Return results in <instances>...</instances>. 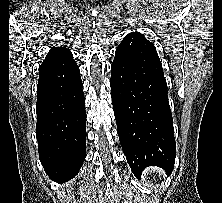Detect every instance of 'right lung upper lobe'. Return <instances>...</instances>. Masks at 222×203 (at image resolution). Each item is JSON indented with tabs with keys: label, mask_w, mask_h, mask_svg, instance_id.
Returning <instances> with one entry per match:
<instances>
[{
	"label": "right lung upper lobe",
	"mask_w": 222,
	"mask_h": 203,
	"mask_svg": "<svg viewBox=\"0 0 222 203\" xmlns=\"http://www.w3.org/2000/svg\"><path fill=\"white\" fill-rule=\"evenodd\" d=\"M72 52L66 47H52L47 56L45 57V62H54V61H67L72 60Z\"/></svg>",
	"instance_id": "right-lung-upper-lobe-1"
}]
</instances>
